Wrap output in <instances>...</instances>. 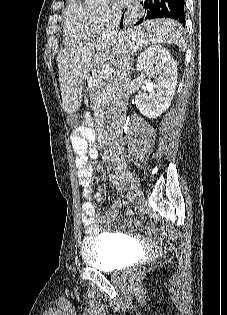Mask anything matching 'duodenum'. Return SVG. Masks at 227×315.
I'll return each mask as SVG.
<instances>
[{"instance_id":"410a0bca","label":"duodenum","mask_w":227,"mask_h":315,"mask_svg":"<svg viewBox=\"0 0 227 315\" xmlns=\"http://www.w3.org/2000/svg\"><path fill=\"white\" fill-rule=\"evenodd\" d=\"M102 141H103L104 144H107L108 141H109V135L108 134L104 135L103 138H102Z\"/></svg>"}]
</instances>
